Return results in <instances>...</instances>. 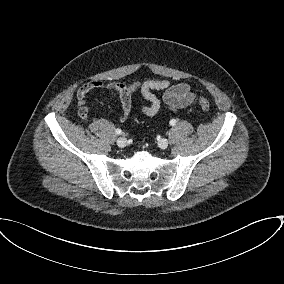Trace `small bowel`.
<instances>
[{
  "label": "small bowel",
  "mask_w": 284,
  "mask_h": 284,
  "mask_svg": "<svg viewBox=\"0 0 284 284\" xmlns=\"http://www.w3.org/2000/svg\"><path fill=\"white\" fill-rule=\"evenodd\" d=\"M94 90H104L116 93L121 102V113L119 121L125 122L132 109L133 95L140 91L147 105L141 107L140 111L147 117H153L164 110L179 111L191 105L196 95L192 92L188 83L172 85L169 80H159L155 78L144 81H135L130 84L104 83L99 80H91L82 84L77 90L78 115L82 120H86L90 113L87 96ZM157 91H162V98L156 95Z\"/></svg>",
  "instance_id": "c3829d8e"
}]
</instances>
